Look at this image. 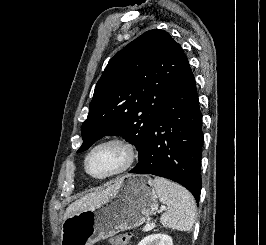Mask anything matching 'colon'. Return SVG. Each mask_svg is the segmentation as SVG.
<instances>
[{
    "label": "colon",
    "instance_id": "1",
    "mask_svg": "<svg viewBox=\"0 0 266 245\" xmlns=\"http://www.w3.org/2000/svg\"><path fill=\"white\" fill-rule=\"evenodd\" d=\"M129 237V234L125 233V234H121L120 236H118L117 242L120 245L125 244V242L127 241Z\"/></svg>",
    "mask_w": 266,
    "mask_h": 245
}]
</instances>
